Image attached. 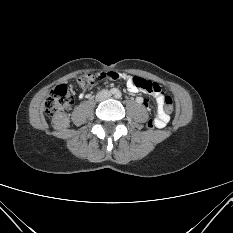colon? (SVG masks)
<instances>
[{
  "label": "colon",
  "instance_id": "5ec220e1",
  "mask_svg": "<svg viewBox=\"0 0 233 233\" xmlns=\"http://www.w3.org/2000/svg\"><path fill=\"white\" fill-rule=\"evenodd\" d=\"M95 77L92 74H85L78 78V84L83 89H90L94 85ZM134 85L150 94L161 93L160 86L152 81L141 77H133ZM164 109L166 113L174 111L173 101L169 96L163 95ZM73 105V95L69 87L65 84L56 86L45 101V112L52 118V126L57 130H66L69 127V120L66 112ZM148 128L155 127V119H150Z\"/></svg>",
  "mask_w": 233,
  "mask_h": 233
}]
</instances>
